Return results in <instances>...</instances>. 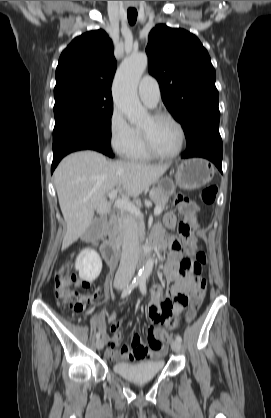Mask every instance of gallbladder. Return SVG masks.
I'll return each instance as SVG.
<instances>
[{"mask_svg": "<svg viewBox=\"0 0 271 418\" xmlns=\"http://www.w3.org/2000/svg\"><path fill=\"white\" fill-rule=\"evenodd\" d=\"M105 220H106L105 215H100V216L94 218L92 224L90 225V227L88 229V234L91 235V236L100 235L102 230H103Z\"/></svg>", "mask_w": 271, "mask_h": 418, "instance_id": "bac80fb5", "label": "gallbladder"}]
</instances>
